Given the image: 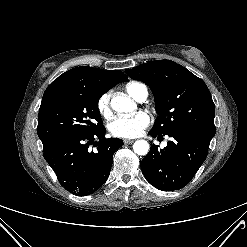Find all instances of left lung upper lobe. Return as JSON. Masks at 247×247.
Here are the masks:
<instances>
[{
  "label": "left lung upper lobe",
  "mask_w": 247,
  "mask_h": 247,
  "mask_svg": "<svg viewBox=\"0 0 247 247\" xmlns=\"http://www.w3.org/2000/svg\"><path fill=\"white\" fill-rule=\"evenodd\" d=\"M129 77L146 83L155 98L158 117L151 132L168 134L191 130L212 138L215 107L206 84L171 60H158L126 70Z\"/></svg>",
  "instance_id": "obj_1"
}]
</instances>
